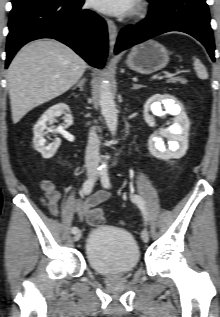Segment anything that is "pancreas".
<instances>
[{
	"instance_id": "pancreas-1",
	"label": "pancreas",
	"mask_w": 220,
	"mask_h": 317,
	"mask_svg": "<svg viewBox=\"0 0 220 317\" xmlns=\"http://www.w3.org/2000/svg\"><path fill=\"white\" fill-rule=\"evenodd\" d=\"M168 82H170V83H176V82L185 83L186 80L184 78H181V77H173V78H170L168 80Z\"/></svg>"
}]
</instances>
